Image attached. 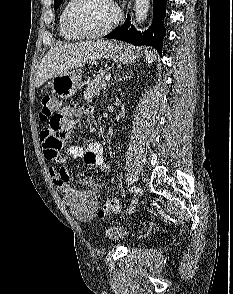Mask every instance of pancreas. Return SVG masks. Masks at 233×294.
Wrapping results in <instances>:
<instances>
[{"mask_svg":"<svg viewBox=\"0 0 233 294\" xmlns=\"http://www.w3.org/2000/svg\"><path fill=\"white\" fill-rule=\"evenodd\" d=\"M106 88L105 73L98 74L87 86L84 91V99L89 100L100 94Z\"/></svg>","mask_w":233,"mask_h":294,"instance_id":"cf45deb5","label":"pancreas"}]
</instances>
